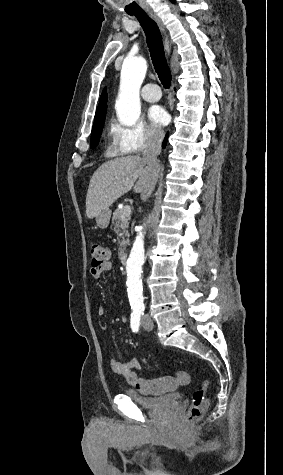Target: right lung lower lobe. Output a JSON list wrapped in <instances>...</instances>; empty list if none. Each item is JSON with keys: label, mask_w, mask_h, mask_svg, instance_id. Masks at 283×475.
Instances as JSON below:
<instances>
[{"label": "right lung lower lobe", "mask_w": 283, "mask_h": 475, "mask_svg": "<svg viewBox=\"0 0 283 475\" xmlns=\"http://www.w3.org/2000/svg\"><path fill=\"white\" fill-rule=\"evenodd\" d=\"M166 142H167V138H165V140H164V142H163V147H165Z\"/></svg>", "instance_id": "right-lung-lower-lobe-1"}]
</instances>
